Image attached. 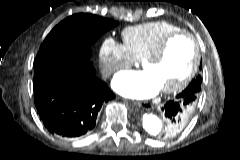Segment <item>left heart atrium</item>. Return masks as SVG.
Here are the masks:
<instances>
[{
	"mask_svg": "<svg viewBox=\"0 0 240 160\" xmlns=\"http://www.w3.org/2000/svg\"><path fill=\"white\" fill-rule=\"evenodd\" d=\"M112 88L123 96L137 99L150 98L160 90L156 80L145 70L120 72L114 77Z\"/></svg>",
	"mask_w": 240,
	"mask_h": 160,
	"instance_id": "left-heart-atrium-1",
	"label": "left heart atrium"
}]
</instances>
